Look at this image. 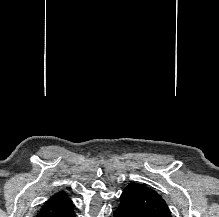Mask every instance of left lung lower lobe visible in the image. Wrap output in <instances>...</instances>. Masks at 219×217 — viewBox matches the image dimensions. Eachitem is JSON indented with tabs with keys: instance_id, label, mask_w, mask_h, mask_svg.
I'll use <instances>...</instances> for the list:
<instances>
[{
	"instance_id": "1",
	"label": "left lung lower lobe",
	"mask_w": 219,
	"mask_h": 217,
	"mask_svg": "<svg viewBox=\"0 0 219 217\" xmlns=\"http://www.w3.org/2000/svg\"><path fill=\"white\" fill-rule=\"evenodd\" d=\"M114 216L115 217H132L125 208L123 207H118L115 211H114Z\"/></svg>"
}]
</instances>
